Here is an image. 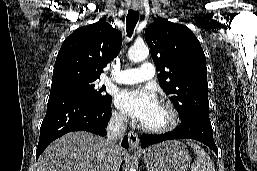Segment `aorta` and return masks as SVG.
<instances>
[{
	"mask_svg": "<svg viewBox=\"0 0 257 171\" xmlns=\"http://www.w3.org/2000/svg\"><path fill=\"white\" fill-rule=\"evenodd\" d=\"M149 55V48L144 45L134 44L128 51V58L132 62H139L146 59Z\"/></svg>",
	"mask_w": 257,
	"mask_h": 171,
	"instance_id": "aorta-1",
	"label": "aorta"
}]
</instances>
